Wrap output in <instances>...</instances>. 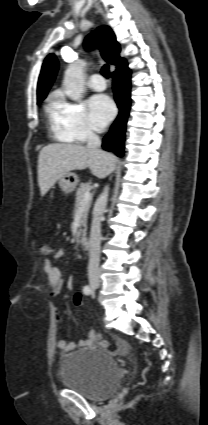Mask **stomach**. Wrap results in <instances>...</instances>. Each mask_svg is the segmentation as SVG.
I'll use <instances>...</instances> for the list:
<instances>
[{
	"instance_id": "obj_1",
	"label": "stomach",
	"mask_w": 208,
	"mask_h": 425,
	"mask_svg": "<svg viewBox=\"0 0 208 425\" xmlns=\"http://www.w3.org/2000/svg\"><path fill=\"white\" fill-rule=\"evenodd\" d=\"M78 182V176L75 173L68 172L59 179V186L65 194H69L75 190Z\"/></svg>"
}]
</instances>
